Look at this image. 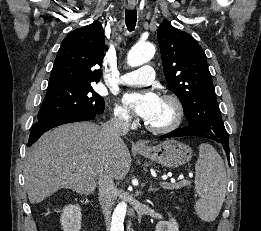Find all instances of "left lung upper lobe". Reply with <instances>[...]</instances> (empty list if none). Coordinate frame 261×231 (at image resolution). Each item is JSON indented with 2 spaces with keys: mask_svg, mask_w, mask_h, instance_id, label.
Masks as SVG:
<instances>
[{
  "mask_svg": "<svg viewBox=\"0 0 261 231\" xmlns=\"http://www.w3.org/2000/svg\"><path fill=\"white\" fill-rule=\"evenodd\" d=\"M164 75L182 102L189 126L209 138H227L207 58L188 33L164 20L158 29Z\"/></svg>",
  "mask_w": 261,
  "mask_h": 231,
  "instance_id": "obj_1",
  "label": "left lung upper lobe"
}]
</instances>
